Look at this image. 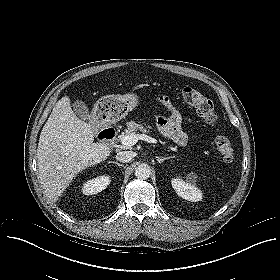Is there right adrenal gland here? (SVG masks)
Here are the masks:
<instances>
[{"label":"right adrenal gland","instance_id":"right-adrenal-gland-1","mask_svg":"<svg viewBox=\"0 0 280 280\" xmlns=\"http://www.w3.org/2000/svg\"><path fill=\"white\" fill-rule=\"evenodd\" d=\"M110 163H114V164H116V165H118V166H123V164H120V163H118V162H116V161H111Z\"/></svg>","mask_w":280,"mask_h":280}]
</instances>
